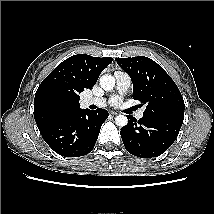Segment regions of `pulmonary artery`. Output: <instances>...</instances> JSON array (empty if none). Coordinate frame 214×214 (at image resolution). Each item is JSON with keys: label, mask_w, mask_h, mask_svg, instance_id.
Returning a JSON list of instances; mask_svg holds the SVG:
<instances>
[{"label": "pulmonary artery", "mask_w": 214, "mask_h": 214, "mask_svg": "<svg viewBox=\"0 0 214 214\" xmlns=\"http://www.w3.org/2000/svg\"><path fill=\"white\" fill-rule=\"evenodd\" d=\"M115 79H116V89L119 93H125L130 85H131V78L130 76L121 70L115 72ZM84 104L89 105H96L99 107H103L106 105V99L101 97H89L84 100ZM143 117V110H140L136 113V118L141 119Z\"/></svg>", "instance_id": "1"}]
</instances>
